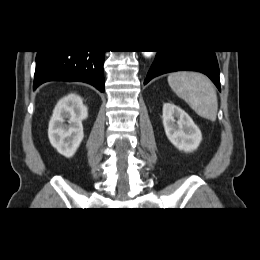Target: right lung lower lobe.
Instances as JSON below:
<instances>
[{
	"instance_id": "right-lung-lower-lobe-1",
	"label": "right lung lower lobe",
	"mask_w": 260,
	"mask_h": 260,
	"mask_svg": "<svg viewBox=\"0 0 260 260\" xmlns=\"http://www.w3.org/2000/svg\"><path fill=\"white\" fill-rule=\"evenodd\" d=\"M105 51H38L33 89L47 81H81L104 92Z\"/></svg>"
}]
</instances>
